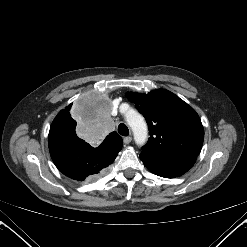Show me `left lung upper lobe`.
<instances>
[{"label": "left lung upper lobe", "mask_w": 247, "mask_h": 247, "mask_svg": "<svg viewBox=\"0 0 247 247\" xmlns=\"http://www.w3.org/2000/svg\"><path fill=\"white\" fill-rule=\"evenodd\" d=\"M126 96L135 103L149 127L144 153L169 158L199 155L204 130L198 114L186 102L164 89L148 94L127 92Z\"/></svg>", "instance_id": "obj_1"}]
</instances>
